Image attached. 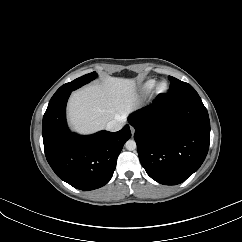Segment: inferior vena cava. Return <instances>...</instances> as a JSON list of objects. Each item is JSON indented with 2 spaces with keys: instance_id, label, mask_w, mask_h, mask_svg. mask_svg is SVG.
<instances>
[{
  "instance_id": "inferior-vena-cava-1",
  "label": "inferior vena cava",
  "mask_w": 242,
  "mask_h": 242,
  "mask_svg": "<svg viewBox=\"0 0 242 242\" xmlns=\"http://www.w3.org/2000/svg\"><path fill=\"white\" fill-rule=\"evenodd\" d=\"M126 118L125 117H119L117 119H114L112 121H109L106 124V129L108 131L116 132L119 131L125 124Z\"/></svg>"
}]
</instances>
